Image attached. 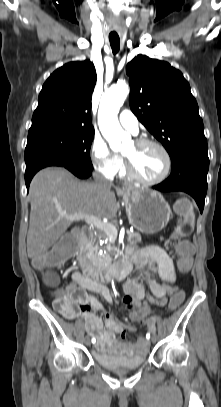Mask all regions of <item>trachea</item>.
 Instances as JSON below:
<instances>
[{
    "label": "trachea",
    "instance_id": "trachea-1",
    "mask_svg": "<svg viewBox=\"0 0 221 407\" xmlns=\"http://www.w3.org/2000/svg\"><path fill=\"white\" fill-rule=\"evenodd\" d=\"M109 41L114 54H117L120 49V38L118 36H109Z\"/></svg>",
    "mask_w": 221,
    "mask_h": 407
}]
</instances>
